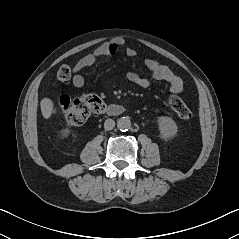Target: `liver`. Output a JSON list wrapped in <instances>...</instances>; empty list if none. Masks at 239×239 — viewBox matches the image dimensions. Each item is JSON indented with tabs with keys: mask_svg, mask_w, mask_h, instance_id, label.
Here are the masks:
<instances>
[{
	"mask_svg": "<svg viewBox=\"0 0 239 239\" xmlns=\"http://www.w3.org/2000/svg\"><path fill=\"white\" fill-rule=\"evenodd\" d=\"M41 112L45 119L50 118L53 113H56L53 101L49 98H43L40 102Z\"/></svg>",
	"mask_w": 239,
	"mask_h": 239,
	"instance_id": "1",
	"label": "liver"
}]
</instances>
